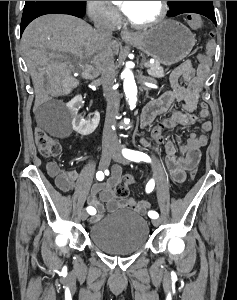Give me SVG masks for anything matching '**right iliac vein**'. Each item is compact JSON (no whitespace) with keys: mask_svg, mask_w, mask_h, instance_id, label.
Wrapping results in <instances>:
<instances>
[{"mask_svg":"<svg viewBox=\"0 0 237 300\" xmlns=\"http://www.w3.org/2000/svg\"><path fill=\"white\" fill-rule=\"evenodd\" d=\"M113 154V149L111 147H105L103 148L102 155H101V161H100V167L101 169H106L111 161V156ZM88 218V213L86 211L81 212V219L85 221Z\"/></svg>","mask_w":237,"mask_h":300,"instance_id":"obj_1","label":"right iliac vein"}]
</instances>
